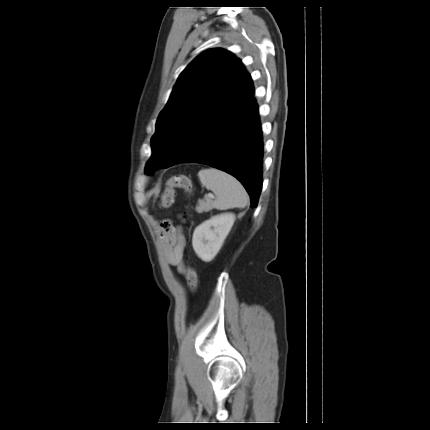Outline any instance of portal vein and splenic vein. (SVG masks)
Instances as JSON below:
<instances>
[{"label": "portal vein and splenic vein", "mask_w": 430, "mask_h": 430, "mask_svg": "<svg viewBox=\"0 0 430 430\" xmlns=\"http://www.w3.org/2000/svg\"><path fill=\"white\" fill-rule=\"evenodd\" d=\"M208 197H214V195L212 193H208L207 195Z\"/></svg>", "instance_id": "portal-vein-and-splenic-vein-1"}]
</instances>
